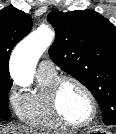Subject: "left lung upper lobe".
Here are the masks:
<instances>
[{"mask_svg":"<svg viewBox=\"0 0 116 134\" xmlns=\"http://www.w3.org/2000/svg\"><path fill=\"white\" fill-rule=\"evenodd\" d=\"M50 58L96 98L106 125H116V27L89 10L52 11Z\"/></svg>","mask_w":116,"mask_h":134,"instance_id":"obj_1","label":"left lung upper lobe"}]
</instances>
